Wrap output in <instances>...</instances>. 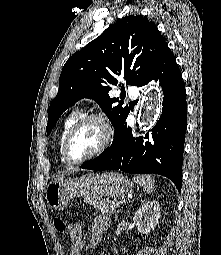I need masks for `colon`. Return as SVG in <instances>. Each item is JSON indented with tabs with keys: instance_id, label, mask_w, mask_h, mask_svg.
I'll use <instances>...</instances> for the list:
<instances>
[{
	"instance_id": "obj_1",
	"label": "colon",
	"mask_w": 221,
	"mask_h": 255,
	"mask_svg": "<svg viewBox=\"0 0 221 255\" xmlns=\"http://www.w3.org/2000/svg\"><path fill=\"white\" fill-rule=\"evenodd\" d=\"M55 227L60 232H69L70 234H76L78 232V227L68 224L62 218H56L54 220Z\"/></svg>"
}]
</instances>
